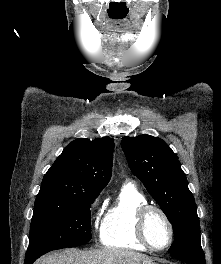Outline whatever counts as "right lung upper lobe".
<instances>
[{"label": "right lung upper lobe", "mask_w": 221, "mask_h": 264, "mask_svg": "<svg viewBox=\"0 0 221 264\" xmlns=\"http://www.w3.org/2000/svg\"><path fill=\"white\" fill-rule=\"evenodd\" d=\"M113 150L110 137L72 141L44 175L38 194L100 193L111 178Z\"/></svg>", "instance_id": "obj_1"}]
</instances>
